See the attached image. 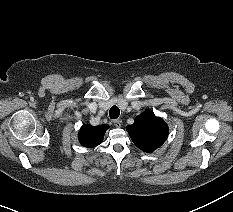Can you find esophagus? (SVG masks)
<instances>
[{
  "mask_svg": "<svg viewBox=\"0 0 233 212\" xmlns=\"http://www.w3.org/2000/svg\"><path fill=\"white\" fill-rule=\"evenodd\" d=\"M113 124H114V126L115 127H121V124H122V120H120V119H115V120H113Z\"/></svg>",
  "mask_w": 233,
  "mask_h": 212,
  "instance_id": "34e87169",
  "label": "esophagus"
}]
</instances>
